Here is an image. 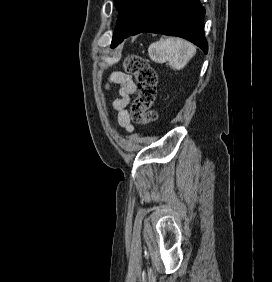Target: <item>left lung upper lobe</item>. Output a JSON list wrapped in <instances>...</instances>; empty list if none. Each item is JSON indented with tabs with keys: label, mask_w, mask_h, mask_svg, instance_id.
I'll list each match as a JSON object with an SVG mask.
<instances>
[{
	"label": "left lung upper lobe",
	"mask_w": 272,
	"mask_h": 282,
	"mask_svg": "<svg viewBox=\"0 0 272 282\" xmlns=\"http://www.w3.org/2000/svg\"><path fill=\"white\" fill-rule=\"evenodd\" d=\"M117 10L121 7L125 0H114Z\"/></svg>",
	"instance_id": "left-lung-upper-lobe-1"
}]
</instances>
